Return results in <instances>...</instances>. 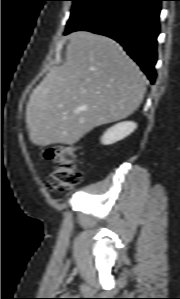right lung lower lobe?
Returning <instances> with one entry per match:
<instances>
[{"instance_id":"right-lung-lower-lobe-1","label":"right lung lower lobe","mask_w":180,"mask_h":299,"mask_svg":"<svg viewBox=\"0 0 180 299\" xmlns=\"http://www.w3.org/2000/svg\"><path fill=\"white\" fill-rule=\"evenodd\" d=\"M163 0H104L66 28L113 38L136 61L153 84L156 79L159 14Z\"/></svg>"}]
</instances>
